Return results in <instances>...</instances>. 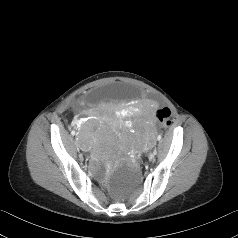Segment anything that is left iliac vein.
<instances>
[{
	"mask_svg": "<svg viewBox=\"0 0 238 238\" xmlns=\"http://www.w3.org/2000/svg\"><path fill=\"white\" fill-rule=\"evenodd\" d=\"M159 148V145H156L154 148V151L150 154V158L153 160L155 158V154L157 153V150Z\"/></svg>",
	"mask_w": 238,
	"mask_h": 238,
	"instance_id": "left-iliac-vein-1",
	"label": "left iliac vein"
}]
</instances>
